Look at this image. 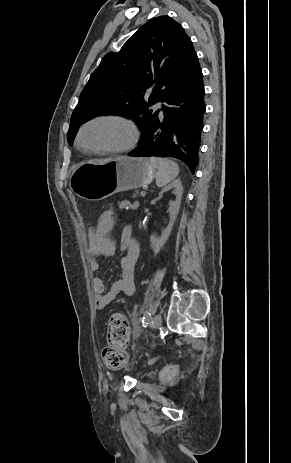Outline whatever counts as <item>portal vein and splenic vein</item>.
Wrapping results in <instances>:
<instances>
[{
    "instance_id": "obj_1",
    "label": "portal vein and splenic vein",
    "mask_w": 291,
    "mask_h": 463,
    "mask_svg": "<svg viewBox=\"0 0 291 463\" xmlns=\"http://www.w3.org/2000/svg\"><path fill=\"white\" fill-rule=\"evenodd\" d=\"M140 194H141L142 197H144L146 195V193L144 191H142Z\"/></svg>"
}]
</instances>
